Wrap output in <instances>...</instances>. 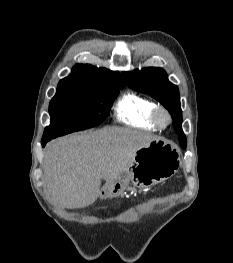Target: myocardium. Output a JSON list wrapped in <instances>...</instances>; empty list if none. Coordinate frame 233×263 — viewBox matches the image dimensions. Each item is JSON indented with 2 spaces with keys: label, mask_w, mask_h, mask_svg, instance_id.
Segmentation results:
<instances>
[{
  "label": "myocardium",
  "mask_w": 233,
  "mask_h": 263,
  "mask_svg": "<svg viewBox=\"0 0 233 263\" xmlns=\"http://www.w3.org/2000/svg\"><path fill=\"white\" fill-rule=\"evenodd\" d=\"M152 120L158 128L165 129L171 124L172 117L165 107L156 106L153 111Z\"/></svg>",
  "instance_id": "myocardium-1"
}]
</instances>
